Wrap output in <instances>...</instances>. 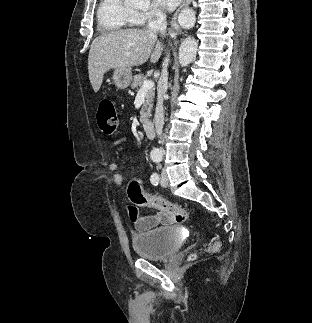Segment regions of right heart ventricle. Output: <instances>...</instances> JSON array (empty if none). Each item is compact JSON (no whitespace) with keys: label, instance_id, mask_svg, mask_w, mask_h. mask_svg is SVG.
I'll use <instances>...</instances> for the list:
<instances>
[{"label":"right heart ventricle","instance_id":"right-heart-ventricle-1","mask_svg":"<svg viewBox=\"0 0 312 323\" xmlns=\"http://www.w3.org/2000/svg\"><path fill=\"white\" fill-rule=\"evenodd\" d=\"M142 18L138 9L122 5V0H100L93 13V20H99L101 29H129V25H138Z\"/></svg>","mask_w":312,"mask_h":323}]
</instances>
